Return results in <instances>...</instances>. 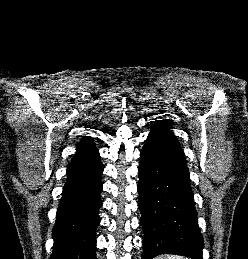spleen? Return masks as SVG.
Instances as JSON below:
<instances>
[{
    "mask_svg": "<svg viewBox=\"0 0 248 259\" xmlns=\"http://www.w3.org/2000/svg\"><path fill=\"white\" fill-rule=\"evenodd\" d=\"M162 259H189V258H184L182 256L169 255V256L163 257Z\"/></svg>",
    "mask_w": 248,
    "mask_h": 259,
    "instance_id": "spleen-1",
    "label": "spleen"
}]
</instances>
